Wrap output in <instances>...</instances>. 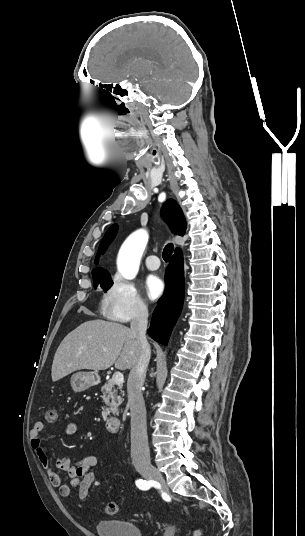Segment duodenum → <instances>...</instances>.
Returning a JSON list of instances; mask_svg holds the SVG:
<instances>
[{
  "instance_id": "410a0bca",
  "label": "duodenum",
  "mask_w": 305,
  "mask_h": 536,
  "mask_svg": "<svg viewBox=\"0 0 305 536\" xmlns=\"http://www.w3.org/2000/svg\"><path fill=\"white\" fill-rule=\"evenodd\" d=\"M104 428L109 434L118 433L121 428L119 419L116 416L109 417L104 424Z\"/></svg>"
}]
</instances>
